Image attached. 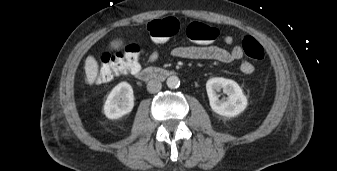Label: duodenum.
I'll return each mask as SVG.
<instances>
[{"label": "duodenum", "mask_w": 337, "mask_h": 171, "mask_svg": "<svg viewBox=\"0 0 337 171\" xmlns=\"http://www.w3.org/2000/svg\"><path fill=\"white\" fill-rule=\"evenodd\" d=\"M173 72L165 68H145L141 69L136 73L137 79L140 81H151V80H165L170 77Z\"/></svg>", "instance_id": "obj_1"}]
</instances>
